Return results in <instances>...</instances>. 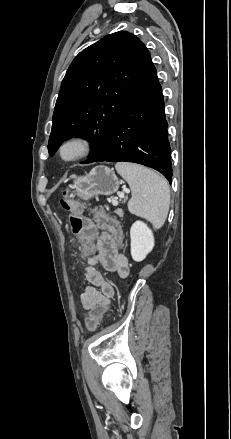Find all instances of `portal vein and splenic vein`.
Listing matches in <instances>:
<instances>
[{
	"label": "portal vein and splenic vein",
	"instance_id": "portal-vein-and-splenic-vein-1",
	"mask_svg": "<svg viewBox=\"0 0 231 439\" xmlns=\"http://www.w3.org/2000/svg\"><path fill=\"white\" fill-rule=\"evenodd\" d=\"M119 197H120V198H123V197H124V193L119 194ZM113 204H114V205H117V202L114 201Z\"/></svg>",
	"mask_w": 231,
	"mask_h": 439
}]
</instances>
